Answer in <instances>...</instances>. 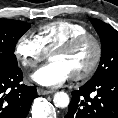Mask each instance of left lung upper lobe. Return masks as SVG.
Here are the masks:
<instances>
[{
    "mask_svg": "<svg viewBox=\"0 0 118 118\" xmlns=\"http://www.w3.org/2000/svg\"><path fill=\"white\" fill-rule=\"evenodd\" d=\"M100 35L102 53L98 69L89 82H97L118 75V31L101 20L91 18Z\"/></svg>",
    "mask_w": 118,
    "mask_h": 118,
    "instance_id": "1",
    "label": "left lung upper lobe"
}]
</instances>
